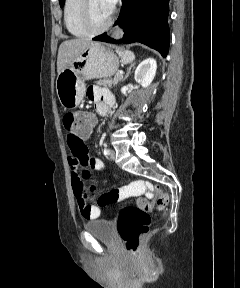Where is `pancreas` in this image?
Returning a JSON list of instances; mask_svg holds the SVG:
<instances>
[{"mask_svg": "<svg viewBox=\"0 0 240 288\" xmlns=\"http://www.w3.org/2000/svg\"><path fill=\"white\" fill-rule=\"evenodd\" d=\"M122 79L121 75H116L114 78H104L95 81L97 85L104 86V87H111L112 85H117Z\"/></svg>", "mask_w": 240, "mask_h": 288, "instance_id": "1", "label": "pancreas"}]
</instances>
